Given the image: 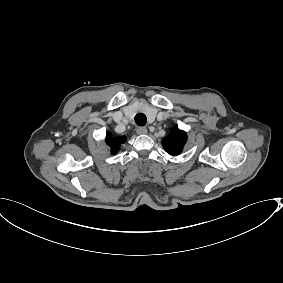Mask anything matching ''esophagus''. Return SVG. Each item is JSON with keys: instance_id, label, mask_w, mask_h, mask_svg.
<instances>
[{"instance_id": "1", "label": "esophagus", "mask_w": 283, "mask_h": 283, "mask_svg": "<svg viewBox=\"0 0 283 283\" xmlns=\"http://www.w3.org/2000/svg\"><path fill=\"white\" fill-rule=\"evenodd\" d=\"M136 132L139 135L146 134L147 133V129L145 127H139Z\"/></svg>"}]
</instances>
